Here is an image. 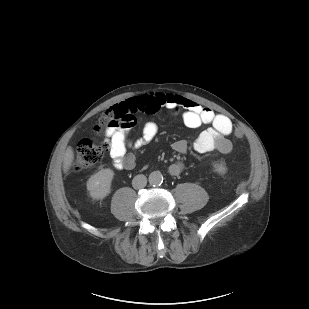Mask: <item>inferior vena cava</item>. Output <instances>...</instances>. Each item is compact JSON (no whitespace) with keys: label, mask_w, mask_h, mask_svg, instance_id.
Wrapping results in <instances>:
<instances>
[{"label":"inferior vena cava","mask_w":309,"mask_h":309,"mask_svg":"<svg viewBox=\"0 0 309 309\" xmlns=\"http://www.w3.org/2000/svg\"><path fill=\"white\" fill-rule=\"evenodd\" d=\"M147 184V178L143 174L136 175L132 180V186L135 189H140L145 187Z\"/></svg>","instance_id":"1"}]
</instances>
